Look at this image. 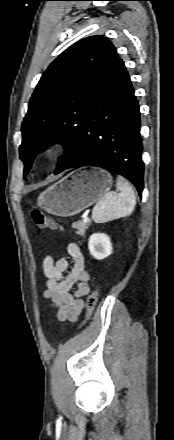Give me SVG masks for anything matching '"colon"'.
<instances>
[{
	"label": "colon",
	"mask_w": 174,
	"mask_h": 440,
	"mask_svg": "<svg viewBox=\"0 0 174 440\" xmlns=\"http://www.w3.org/2000/svg\"><path fill=\"white\" fill-rule=\"evenodd\" d=\"M31 218L34 224L40 229L57 230L61 229L59 223L51 216H48L40 211L34 210L31 212ZM99 289L95 288L87 298V314L86 321H88L94 312L95 305L98 299Z\"/></svg>",
	"instance_id": "5ec220e1"
}]
</instances>
